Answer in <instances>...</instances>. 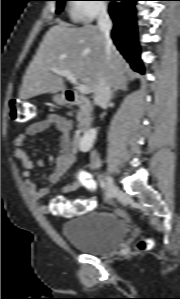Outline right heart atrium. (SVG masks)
<instances>
[{"label":"right heart atrium","instance_id":"right-heart-atrium-1","mask_svg":"<svg viewBox=\"0 0 180 299\" xmlns=\"http://www.w3.org/2000/svg\"><path fill=\"white\" fill-rule=\"evenodd\" d=\"M72 6V16L80 21H92L107 13L104 0H76Z\"/></svg>","mask_w":180,"mask_h":299}]
</instances>
